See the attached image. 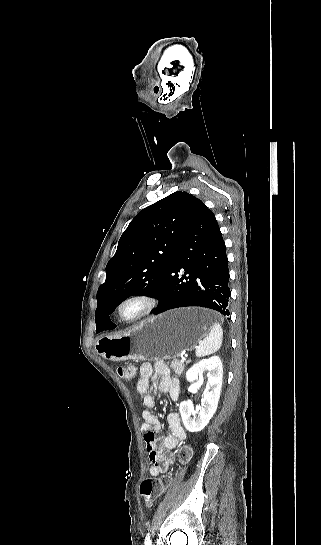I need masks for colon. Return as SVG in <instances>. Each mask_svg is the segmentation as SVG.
<instances>
[{
    "label": "colon",
    "mask_w": 321,
    "mask_h": 545,
    "mask_svg": "<svg viewBox=\"0 0 321 545\" xmlns=\"http://www.w3.org/2000/svg\"><path fill=\"white\" fill-rule=\"evenodd\" d=\"M118 374L125 380L130 381L135 376V368L131 364L122 365L117 368ZM190 456V450L188 448H182L179 452L181 460H187ZM170 481L169 476L161 478L150 477L144 479L140 484V496L143 502L147 506L153 505L156 500L166 490Z\"/></svg>",
    "instance_id": "colon-1"
}]
</instances>
